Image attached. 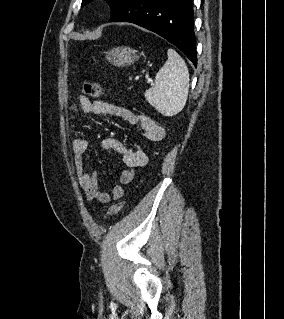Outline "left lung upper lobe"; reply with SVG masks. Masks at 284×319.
Here are the masks:
<instances>
[{
    "label": "left lung upper lobe",
    "mask_w": 284,
    "mask_h": 319,
    "mask_svg": "<svg viewBox=\"0 0 284 319\" xmlns=\"http://www.w3.org/2000/svg\"><path fill=\"white\" fill-rule=\"evenodd\" d=\"M90 1H92V0H82L81 6L83 7L84 5L89 3ZM107 1L109 2L110 6H111V10H112L111 17H113L122 9V7L125 5V3L128 0H107Z\"/></svg>",
    "instance_id": "5c2ea615"
}]
</instances>
